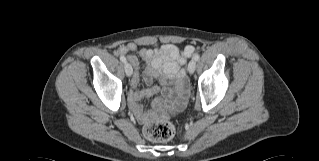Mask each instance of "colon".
Here are the masks:
<instances>
[{"instance_id": "obj_1", "label": "colon", "mask_w": 319, "mask_h": 161, "mask_svg": "<svg viewBox=\"0 0 319 161\" xmlns=\"http://www.w3.org/2000/svg\"><path fill=\"white\" fill-rule=\"evenodd\" d=\"M176 133L174 126L167 121H157L144 128L145 136L151 141H167Z\"/></svg>"}]
</instances>
